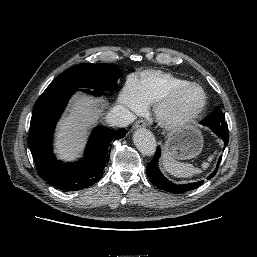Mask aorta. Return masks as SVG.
Instances as JSON below:
<instances>
[{
    "label": "aorta",
    "instance_id": "aorta-1",
    "mask_svg": "<svg viewBox=\"0 0 257 257\" xmlns=\"http://www.w3.org/2000/svg\"><path fill=\"white\" fill-rule=\"evenodd\" d=\"M136 148L144 155H153L156 151V139L152 132L145 128L137 129L133 135Z\"/></svg>",
    "mask_w": 257,
    "mask_h": 257
}]
</instances>
